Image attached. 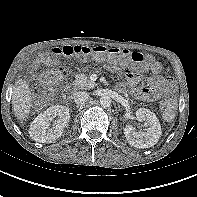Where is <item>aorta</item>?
<instances>
[{
  "instance_id": "1",
  "label": "aorta",
  "mask_w": 197,
  "mask_h": 197,
  "mask_svg": "<svg viewBox=\"0 0 197 197\" xmlns=\"http://www.w3.org/2000/svg\"><path fill=\"white\" fill-rule=\"evenodd\" d=\"M111 104V98L109 96H102L100 98V105L104 108L109 107Z\"/></svg>"
}]
</instances>
